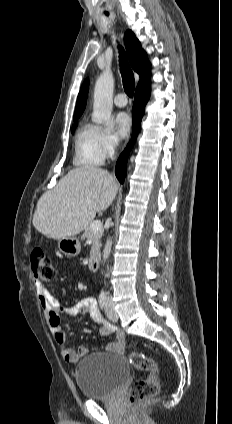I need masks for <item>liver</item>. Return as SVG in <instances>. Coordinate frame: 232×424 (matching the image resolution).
<instances>
[{
  "label": "liver",
  "instance_id": "liver-1",
  "mask_svg": "<svg viewBox=\"0 0 232 424\" xmlns=\"http://www.w3.org/2000/svg\"><path fill=\"white\" fill-rule=\"evenodd\" d=\"M117 191L115 177L106 170L94 166L74 168L41 196L33 226L57 240L77 235L89 226L97 212L112 204Z\"/></svg>",
  "mask_w": 232,
  "mask_h": 424
}]
</instances>
